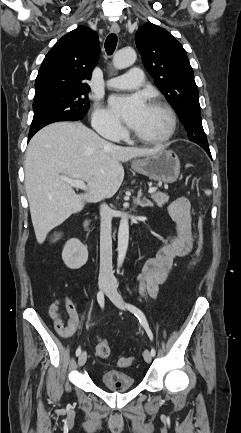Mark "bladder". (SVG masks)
I'll return each instance as SVG.
<instances>
[{
	"label": "bladder",
	"mask_w": 241,
	"mask_h": 433,
	"mask_svg": "<svg viewBox=\"0 0 241 433\" xmlns=\"http://www.w3.org/2000/svg\"><path fill=\"white\" fill-rule=\"evenodd\" d=\"M100 380L110 391H126L135 386L133 377L125 372L107 371L101 375Z\"/></svg>",
	"instance_id": "31cf9c89"
}]
</instances>
